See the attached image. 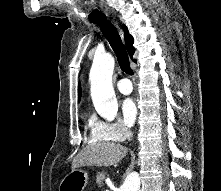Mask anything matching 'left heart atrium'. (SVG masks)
<instances>
[{"mask_svg": "<svg viewBox=\"0 0 221 191\" xmlns=\"http://www.w3.org/2000/svg\"><path fill=\"white\" fill-rule=\"evenodd\" d=\"M121 111L123 115V119L127 125H132L137 117V106L135 101L128 97L122 101Z\"/></svg>", "mask_w": 221, "mask_h": 191, "instance_id": "39dd6f15", "label": "left heart atrium"}]
</instances>
